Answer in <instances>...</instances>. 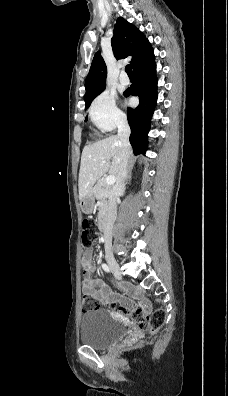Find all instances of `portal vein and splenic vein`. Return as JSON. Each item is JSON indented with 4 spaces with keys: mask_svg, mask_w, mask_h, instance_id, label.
Listing matches in <instances>:
<instances>
[{
    "mask_svg": "<svg viewBox=\"0 0 228 396\" xmlns=\"http://www.w3.org/2000/svg\"><path fill=\"white\" fill-rule=\"evenodd\" d=\"M102 162L105 163L106 161L103 160ZM115 182H116V178H115V176H112V175L107 176L105 179V184H107V185H113Z\"/></svg>",
    "mask_w": 228,
    "mask_h": 396,
    "instance_id": "18ae733b",
    "label": "portal vein and splenic vein"
}]
</instances>
